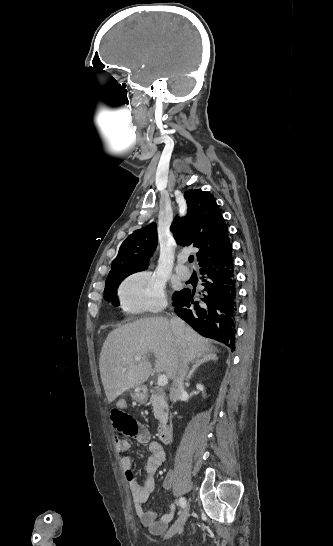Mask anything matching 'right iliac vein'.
Listing matches in <instances>:
<instances>
[{"label":"right iliac vein","instance_id":"1","mask_svg":"<svg viewBox=\"0 0 333 546\" xmlns=\"http://www.w3.org/2000/svg\"><path fill=\"white\" fill-rule=\"evenodd\" d=\"M189 511V504L185 507V509L180 514L179 518L176 520V522L170 527V529L167 531L165 538H171L176 533H181L183 531L184 524L187 520Z\"/></svg>","mask_w":333,"mask_h":546}]
</instances>
